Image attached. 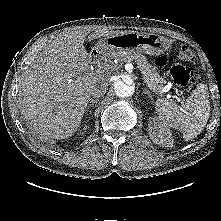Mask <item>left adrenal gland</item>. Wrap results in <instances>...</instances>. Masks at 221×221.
Listing matches in <instances>:
<instances>
[{
	"mask_svg": "<svg viewBox=\"0 0 221 221\" xmlns=\"http://www.w3.org/2000/svg\"><path fill=\"white\" fill-rule=\"evenodd\" d=\"M143 93L146 94L151 100H152V95L151 92L149 90H147L146 88L143 90Z\"/></svg>",
	"mask_w": 221,
	"mask_h": 221,
	"instance_id": "a2214340",
	"label": "left adrenal gland"
}]
</instances>
